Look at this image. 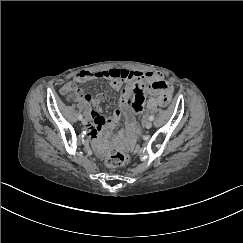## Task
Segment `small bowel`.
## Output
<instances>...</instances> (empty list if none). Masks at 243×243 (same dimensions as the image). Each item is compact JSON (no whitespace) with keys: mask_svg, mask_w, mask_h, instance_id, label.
<instances>
[{"mask_svg":"<svg viewBox=\"0 0 243 243\" xmlns=\"http://www.w3.org/2000/svg\"><path fill=\"white\" fill-rule=\"evenodd\" d=\"M106 78L110 79L111 87L118 90L123 82L129 86L132 94V110L134 113H140L145 108L154 110L157 107L167 105L173 94V88L165 80L160 72H142L138 70H129L124 68H111L98 72L81 71L74 76L75 83H85L92 79ZM73 87L71 83L65 84L61 88L63 94ZM146 94H152V97L146 100ZM80 100L92 104L95 108L89 114V137L97 142L98 135L103 126L107 123L115 122L120 117V112L115 111L109 118L100 114L99 99L90 95L79 94Z\"/></svg>","mask_w":243,"mask_h":243,"instance_id":"small-bowel-1","label":"small bowel"}]
</instances>
